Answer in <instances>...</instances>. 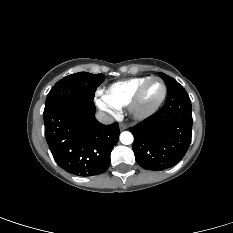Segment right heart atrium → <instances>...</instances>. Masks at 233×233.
<instances>
[{"mask_svg":"<svg viewBox=\"0 0 233 233\" xmlns=\"http://www.w3.org/2000/svg\"><path fill=\"white\" fill-rule=\"evenodd\" d=\"M96 101L98 106L109 114L113 116H116L118 114L117 108L107 103L102 94H98Z\"/></svg>","mask_w":233,"mask_h":233,"instance_id":"1","label":"right heart atrium"}]
</instances>
